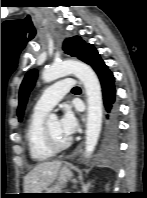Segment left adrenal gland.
I'll return each instance as SVG.
<instances>
[{"instance_id":"a2214340","label":"left adrenal gland","mask_w":147,"mask_h":198,"mask_svg":"<svg viewBox=\"0 0 147 198\" xmlns=\"http://www.w3.org/2000/svg\"><path fill=\"white\" fill-rule=\"evenodd\" d=\"M90 185H91L90 182L87 183V184H84V183L82 184V191H83V193H87L88 192Z\"/></svg>"}]
</instances>
